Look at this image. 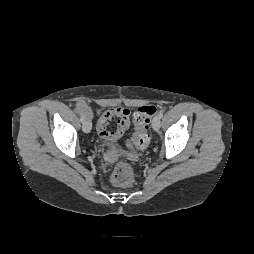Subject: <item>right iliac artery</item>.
I'll return each mask as SVG.
<instances>
[{"label":"right iliac artery","instance_id":"82829eb1","mask_svg":"<svg viewBox=\"0 0 254 254\" xmlns=\"http://www.w3.org/2000/svg\"><path fill=\"white\" fill-rule=\"evenodd\" d=\"M80 120H81V122L83 123L84 120H85V118H84L83 116H81Z\"/></svg>","mask_w":254,"mask_h":254}]
</instances>
